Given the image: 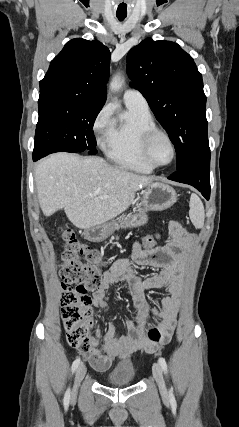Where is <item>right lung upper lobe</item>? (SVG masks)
Returning a JSON list of instances; mask_svg holds the SVG:
<instances>
[{"mask_svg":"<svg viewBox=\"0 0 239 427\" xmlns=\"http://www.w3.org/2000/svg\"><path fill=\"white\" fill-rule=\"evenodd\" d=\"M110 51L97 40L72 39L51 61L40 81L39 100H64L96 106L106 101Z\"/></svg>","mask_w":239,"mask_h":427,"instance_id":"obj_1","label":"right lung upper lobe"}]
</instances>
